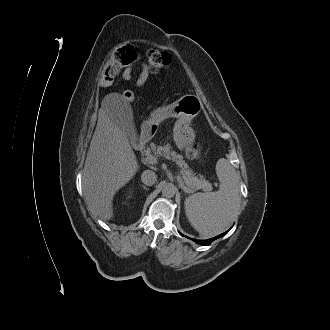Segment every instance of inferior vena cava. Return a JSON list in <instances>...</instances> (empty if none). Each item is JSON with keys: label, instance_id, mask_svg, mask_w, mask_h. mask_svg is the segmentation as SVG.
Listing matches in <instances>:
<instances>
[{"label": "inferior vena cava", "instance_id": "obj_1", "mask_svg": "<svg viewBox=\"0 0 330 330\" xmlns=\"http://www.w3.org/2000/svg\"><path fill=\"white\" fill-rule=\"evenodd\" d=\"M141 181L147 186H152L157 181V175L152 170H145L141 175Z\"/></svg>", "mask_w": 330, "mask_h": 330}]
</instances>
